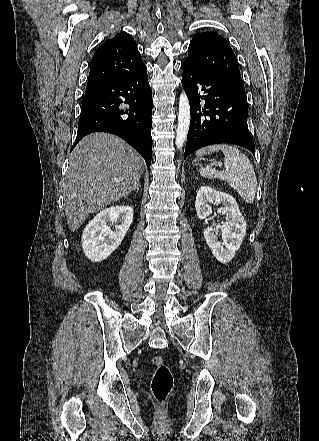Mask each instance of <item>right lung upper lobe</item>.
<instances>
[{"mask_svg": "<svg viewBox=\"0 0 319 441\" xmlns=\"http://www.w3.org/2000/svg\"><path fill=\"white\" fill-rule=\"evenodd\" d=\"M144 66L136 42L126 32L101 44L92 60L86 92Z\"/></svg>", "mask_w": 319, "mask_h": 441, "instance_id": "right-lung-upper-lobe-1", "label": "right lung upper lobe"}]
</instances>
